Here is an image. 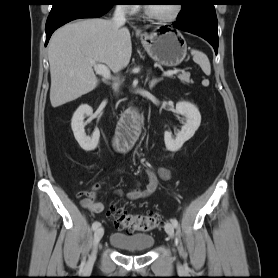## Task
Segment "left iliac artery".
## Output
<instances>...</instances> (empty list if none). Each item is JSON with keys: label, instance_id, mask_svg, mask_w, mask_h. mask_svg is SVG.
Listing matches in <instances>:
<instances>
[{"label": "left iliac artery", "instance_id": "1", "mask_svg": "<svg viewBox=\"0 0 278 278\" xmlns=\"http://www.w3.org/2000/svg\"><path fill=\"white\" fill-rule=\"evenodd\" d=\"M171 222H172V224H173L174 227H177V226H178V221H177V219L173 218V219L171 220Z\"/></svg>", "mask_w": 278, "mask_h": 278}]
</instances>
